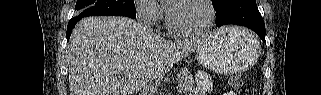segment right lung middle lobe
<instances>
[{
	"instance_id": "right-lung-middle-lobe-1",
	"label": "right lung middle lobe",
	"mask_w": 321,
	"mask_h": 95,
	"mask_svg": "<svg viewBox=\"0 0 321 95\" xmlns=\"http://www.w3.org/2000/svg\"><path fill=\"white\" fill-rule=\"evenodd\" d=\"M76 17L126 16L136 18L133 0H77Z\"/></svg>"
}]
</instances>
